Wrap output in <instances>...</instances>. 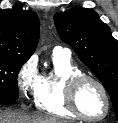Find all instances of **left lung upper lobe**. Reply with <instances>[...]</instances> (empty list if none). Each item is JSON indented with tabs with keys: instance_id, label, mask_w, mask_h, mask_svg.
Masks as SVG:
<instances>
[{
	"instance_id": "left-lung-upper-lobe-1",
	"label": "left lung upper lobe",
	"mask_w": 118,
	"mask_h": 123,
	"mask_svg": "<svg viewBox=\"0 0 118 123\" xmlns=\"http://www.w3.org/2000/svg\"><path fill=\"white\" fill-rule=\"evenodd\" d=\"M61 39L98 77L111 97L118 118V42L92 9L74 8L54 16Z\"/></svg>"
}]
</instances>
